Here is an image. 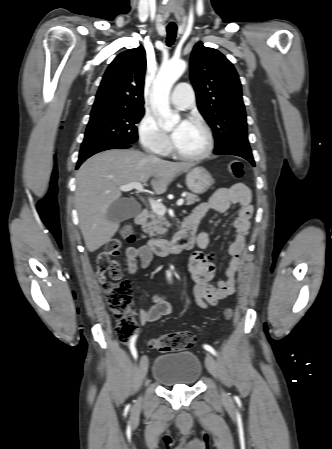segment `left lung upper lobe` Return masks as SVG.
<instances>
[{"label": "left lung upper lobe", "instance_id": "1", "mask_svg": "<svg viewBox=\"0 0 332 449\" xmlns=\"http://www.w3.org/2000/svg\"><path fill=\"white\" fill-rule=\"evenodd\" d=\"M190 78L197 106L215 138V150L250 149L239 76L218 50L198 42L190 59Z\"/></svg>", "mask_w": 332, "mask_h": 449}]
</instances>
